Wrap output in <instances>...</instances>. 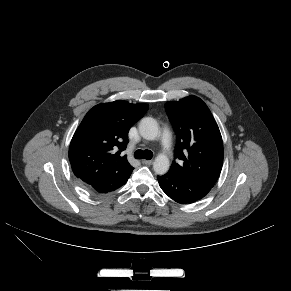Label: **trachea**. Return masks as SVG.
<instances>
[{
  "label": "trachea",
  "instance_id": "3493384b",
  "mask_svg": "<svg viewBox=\"0 0 291 291\" xmlns=\"http://www.w3.org/2000/svg\"><path fill=\"white\" fill-rule=\"evenodd\" d=\"M136 159H147L150 160L153 157V153L150 150H141L138 149L134 153Z\"/></svg>",
  "mask_w": 291,
  "mask_h": 291
}]
</instances>
